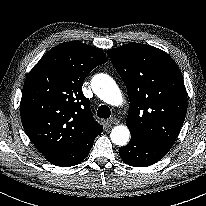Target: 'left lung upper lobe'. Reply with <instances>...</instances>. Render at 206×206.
<instances>
[{"label": "left lung upper lobe", "mask_w": 206, "mask_h": 206, "mask_svg": "<svg viewBox=\"0 0 206 206\" xmlns=\"http://www.w3.org/2000/svg\"><path fill=\"white\" fill-rule=\"evenodd\" d=\"M107 54L127 88L131 135L172 146L187 113L186 89L175 61L139 43L109 49Z\"/></svg>", "instance_id": "left-lung-upper-lobe-1"}]
</instances>
